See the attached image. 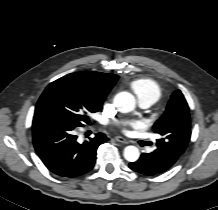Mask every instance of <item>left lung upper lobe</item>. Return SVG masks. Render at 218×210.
I'll list each match as a JSON object with an SVG mask.
<instances>
[{
    "label": "left lung upper lobe",
    "mask_w": 218,
    "mask_h": 210,
    "mask_svg": "<svg viewBox=\"0 0 218 210\" xmlns=\"http://www.w3.org/2000/svg\"><path fill=\"white\" fill-rule=\"evenodd\" d=\"M153 131L161 135L157 148L166 156L182 155L190 141L189 106L181 93L175 91L161 118L154 124Z\"/></svg>",
    "instance_id": "1"
}]
</instances>
